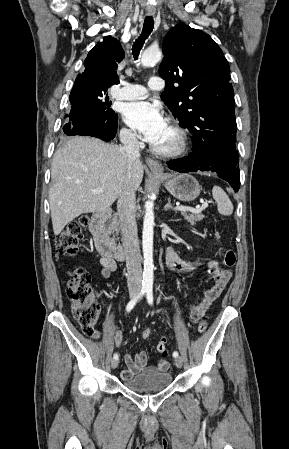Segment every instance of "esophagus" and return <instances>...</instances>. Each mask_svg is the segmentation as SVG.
Masks as SVG:
<instances>
[{
  "instance_id": "obj_1",
  "label": "esophagus",
  "mask_w": 289,
  "mask_h": 449,
  "mask_svg": "<svg viewBox=\"0 0 289 449\" xmlns=\"http://www.w3.org/2000/svg\"><path fill=\"white\" fill-rule=\"evenodd\" d=\"M153 12H150L149 15H153ZM146 164L148 165V167L154 171V172H163V168L162 166L155 160L151 159V158H146Z\"/></svg>"
}]
</instances>
